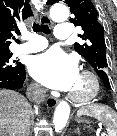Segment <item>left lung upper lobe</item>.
Returning a JSON list of instances; mask_svg holds the SVG:
<instances>
[{"label":"left lung upper lobe","mask_w":117,"mask_h":136,"mask_svg":"<svg viewBox=\"0 0 117 136\" xmlns=\"http://www.w3.org/2000/svg\"><path fill=\"white\" fill-rule=\"evenodd\" d=\"M55 2V0H49L47 4L52 5ZM65 3L75 15V18H70V22H73L75 26H81L84 31V34L79 37L85 40V43H75V50L92 65L105 87L111 89L107 75L104 29L97 20V10L90 0H65Z\"/></svg>","instance_id":"5c2ea615"}]
</instances>
